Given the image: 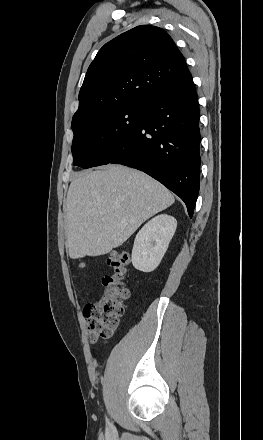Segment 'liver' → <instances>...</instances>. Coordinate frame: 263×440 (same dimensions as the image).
Returning <instances> with one entry per match:
<instances>
[{"mask_svg": "<svg viewBox=\"0 0 263 440\" xmlns=\"http://www.w3.org/2000/svg\"><path fill=\"white\" fill-rule=\"evenodd\" d=\"M174 201L158 181L121 165L76 174L65 209L70 258L109 253Z\"/></svg>", "mask_w": 263, "mask_h": 440, "instance_id": "6515ba94", "label": "liver"}]
</instances>
